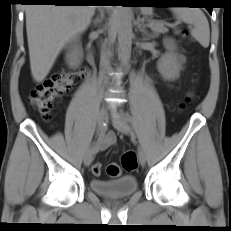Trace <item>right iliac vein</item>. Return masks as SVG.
I'll return each mask as SVG.
<instances>
[{"instance_id": "63e3f726", "label": "right iliac vein", "mask_w": 231, "mask_h": 231, "mask_svg": "<svg viewBox=\"0 0 231 231\" xmlns=\"http://www.w3.org/2000/svg\"><path fill=\"white\" fill-rule=\"evenodd\" d=\"M107 113V107L105 105H102L100 112H99V116H98V120H97V127H98V131L102 129L103 124L105 122V116ZM93 160V151L92 149H88L86 151V153L84 154V165L85 166H90V164L92 163Z\"/></svg>"}]
</instances>
